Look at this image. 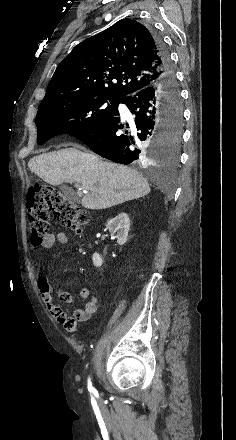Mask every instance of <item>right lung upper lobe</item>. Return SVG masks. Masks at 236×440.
<instances>
[{
  "label": "right lung upper lobe",
  "instance_id": "right-lung-upper-lobe-1",
  "mask_svg": "<svg viewBox=\"0 0 236 440\" xmlns=\"http://www.w3.org/2000/svg\"><path fill=\"white\" fill-rule=\"evenodd\" d=\"M161 75L151 32L136 20L122 19L71 51L57 66L42 102L80 95L119 102Z\"/></svg>",
  "mask_w": 236,
  "mask_h": 440
}]
</instances>
